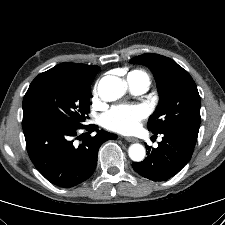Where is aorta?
Masks as SVG:
<instances>
[{
    "instance_id": "1",
    "label": "aorta",
    "mask_w": 225,
    "mask_h": 225,
    "mask_svg": "<svg viewBox=\"0 0 225 225\" xmlns=\"http://www.w3.org/2000/svg\"><path fill=\"white\" fill-rule=\"evenodd\" d=\"M127 90V83L119 77L107 75L101 78L98 84V94L104 101H116L120 99ZM128 155L134 162L144 160L146 150L139 143L132 144L128 149Z\"/></svg>"
}]
</instances>
